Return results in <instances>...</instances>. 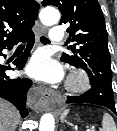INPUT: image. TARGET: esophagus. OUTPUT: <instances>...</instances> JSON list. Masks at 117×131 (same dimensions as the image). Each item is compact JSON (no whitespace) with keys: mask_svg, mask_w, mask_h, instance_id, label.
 <instances>
[{"mask_svg":"<svg viewBox=\"0 0 117 131\" xmlns=\"http://www.w3.org/2000/svg\"><path fill=\"white\" fill-rule=\"evenodd\" d=\"M46 29L44 26L40 25L39 30L36 34V38L45 33ZM53 96V92L43 87H34L29 95V105L30 107L37 111L43 112L50 109V101Z\"/></svg>","mask_w":117,"mask_h":131,"instance_id":"esophagus-1","label":"esophagus"}]
</instances>
